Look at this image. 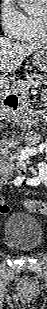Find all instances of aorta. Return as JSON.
Returning <instances> with one entry per match:
<instances>
[{
	"instance_id": "762f6f07",
	"label": "aorta",
	"mask_w": 47,
	"mask_h": 309,
	"mask_svg": "<svg viewBox=\"0 0 47 309\" xmlns=\"http://www.w3.org/2000/svg\"><path fill=\"white\" fill-rule=\"evenodd\" d=\"M20 2H21L22 4H24V7H25L26 12L30 13V12L33 11V9L30 8V7L26 4V3L28 2V0H20Z\"/></svg>"
}]
</instances>
